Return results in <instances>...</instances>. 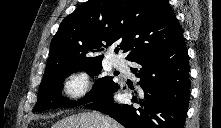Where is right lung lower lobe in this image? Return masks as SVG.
<instances>
[{
  "label": "right lung lower lobe",
  "instance_id": "1",
  "mask_svg": "<svg viewBox=\"0 0 221 128\" xmlns=\"http://www.w3.org/2000/svg\"><path fill=\"white\" fill-rule=\"evenodd\" d=\"M131 61L140 65L131 71L140 78L143 96L135 93L132 104H117L112 98L117 86L86 107L109 115L125 128H184L191 86L184 39Z\"/></svg>",
  "mask_w": 221,
  "mask_h": 128
}]
</instances>
